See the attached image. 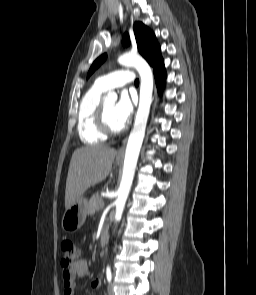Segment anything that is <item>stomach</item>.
Wrapping results in <instances>:
<instances>
[{
    "label": "stomach",
    "instance_id": "0dacf381",
    "mask_svg": "<svg viewBox=\"0 0 256 295\" xmlns=\"http://www.w3.org/2000/svg\"><path fill=\"white\" fill-rule=\"evenodd\" d=\"M116 163L119 160L116 159ZM88 202L85 198H79L74 204L67 208L62 216L61 225L66 232H75L84 224L87 216Z\"/></svg>",
    "mask_w": 256,
    "mask_h": 295
}]
</instances>
